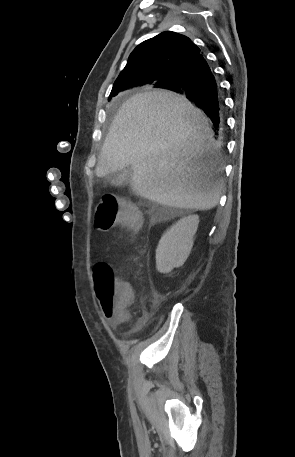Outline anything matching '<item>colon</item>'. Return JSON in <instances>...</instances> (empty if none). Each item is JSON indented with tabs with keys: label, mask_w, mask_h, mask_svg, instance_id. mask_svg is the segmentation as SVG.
I'll return each instance as SVG.
<instances>
[{
	"label": "colon",
	"mask_w": 295,
	"mask_h": 457,
	"mask_svg": "<svg viewBox=\"0 0 295 457\" xmlns=\"http://www.w3.org/2000/svg\"><path fill=\"white\" fill-rule=\"evenodd\" d=\"M142 221L139 211L131 204L119 201L114 195H104L99 201L94 224L99 231H109L116 224L137 228ZM97 298L106 317L126 318V310L134 300L133 286L119 280L104 262L92 268Z\"/></svg>",
	"instance_id": "colon-1"
}]
</instances>
